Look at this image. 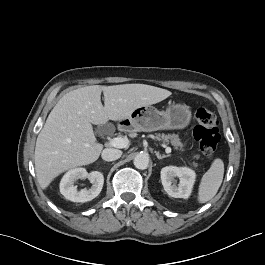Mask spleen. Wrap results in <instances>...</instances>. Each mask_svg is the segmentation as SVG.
<instances>
[{"instance_id":"spleen-1","label":"spleen","mask_w":265,"mask_h":265,"mask_svg":"<svg viewBox=\"0 0 265 265\" xmlns=\"http://www.w3.org/2000/svg\"><path fill=\"white\" fill-rule=\"evenodd\" d=\"M224 176V163L216 158L212 162L209 170L201 178L198 189V202L206 203L210 201L218 192Z\"/></svg>"}]
</instances>
